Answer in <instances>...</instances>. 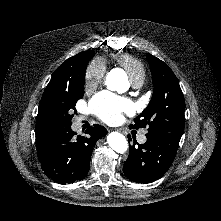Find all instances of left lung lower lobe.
<instances>
[{
    "label": "left lung lower lobe",
    "instance_id": "obj_1",
    "mask_svg": "<svg viewBox=\"0 0 221 221\" xmlns=\"http://www.w3.org/2000/svg\"><path fill=\"white\" fill-rule=\"evenodd\" d=\"M180 133L159 131L146 134L147 141L129 145L123 172L128 179L150 183L161 178L171 166L181 138Z\"/></svg>",
    "mask_w": 221,
    "mask_h": 221
}]
</instances>
